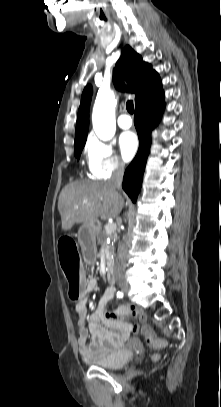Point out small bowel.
<instances>
[{"instance_id":"obj_1","label":"small bowel","mask_w":221,"mask_h":407,"mask_svg":"<svg viewBox=\"0 0 221 407\" xmlns=\"http://www.w3.org/2000/svg\"><path fill=\"white\" fill-rule=\"evenodd\" d=\"M95 278L85 282L82 298L76 304L79 319L78 350L85 359L104 356L119 348L132 333L138 330V325L145 319L144 312L136 307L120 305L113 311H107V305L115 294L114 287H108L94 312L88 314V298L97 289ZM133 316L136 323L124 320ZM91 336L90 342L88 337Z\"/></svg>"}]
</instances>
